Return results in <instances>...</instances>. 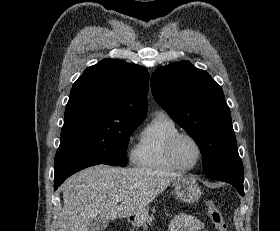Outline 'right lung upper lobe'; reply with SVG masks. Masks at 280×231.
Listing matches in <instances>:
<instances>
[{"label": "right lung upper lobe", "instance_id": "1", "mask_svg": "<svg viewBox=\"0 0 280 231\" xmlns=\"http://www.w3.org/2000/svg\"><path fill=\"white\" fill-rule=\"evenodd\" d=\"M149 73L145 67L103 59L73 84L65 119L118 118L143 121Z\"/></svg>", "mask_w": 280, "mask_h": 231}]
</instances>
